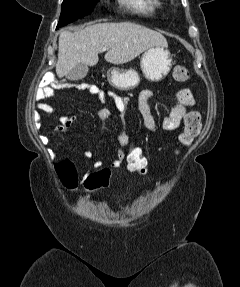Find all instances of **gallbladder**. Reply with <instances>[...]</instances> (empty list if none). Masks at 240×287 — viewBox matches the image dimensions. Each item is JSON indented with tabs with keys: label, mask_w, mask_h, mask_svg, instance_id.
Listing matches in <instances>:
<instances>
[{
	"label": "gallbladder",
	"mask_w": 240,
	"mask_h": 287,
	"mask_svg": "<svg viewBox=\"0 0 240 287\" xmlns=\"http://www.w3.org/2000/svg\"><path fill=\"white\" fill-rule=\"evenodd\" d=\"M88 70L89 69L87 65L79 63L76 67L70 70L65 76L66 79L71 81L81 80L87 75Z\"/></svg>",
	"instance_id": "bac80fb5"
}]
</instances>
